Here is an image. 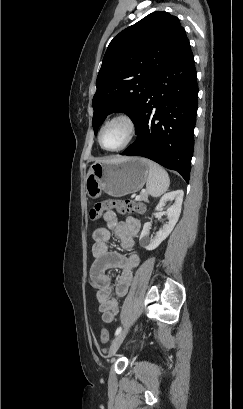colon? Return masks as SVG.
<instances>
[{
  "instance_id": "obj_1",
  "label": "colon",
  "mask_w": 243,
  "mask_h": 409,
  "mask_svg": "<svg viewBox=\"0 0 243 409\" xmlns=\"http://www.w3.org/2000/svg\"><path fill=\"white\" fill-rule=\"evenodd\" d=\"M115 209L120 214H137L142 215L145 213V206L142 203H138L134 200H110L102 201L94 204V206L89 211V217L92 221H97L103 211ZM100 341L106 344L109 341V332L107 329L103 328L100 331Z\"/></svg>"
}]
</instances>
